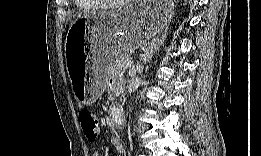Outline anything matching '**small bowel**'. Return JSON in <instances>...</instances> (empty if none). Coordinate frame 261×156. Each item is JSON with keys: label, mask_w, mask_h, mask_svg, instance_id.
Segmentation results:
<instances>
[{"label": "small bowel", "mask_w": 261, "mask_h": 156, "mask_svg": "<svg viewBox=\"0 0 261 156\" xmlns=\"http://www.w3.org/2000/svg\"><path fill=\"white\" fill-rule=\"evenodd\" d=\"M123 87V83L120 80H110L108 85V91L111 94H117L121 91ZM112 145L115 147L117 154L119 156H125L126 155V148L125 146L116 138L111 139ZM94 156H100V151L96 150L93 154Z\"/></svg>", "instance_id": "c3829d8e"}]
</instances>
